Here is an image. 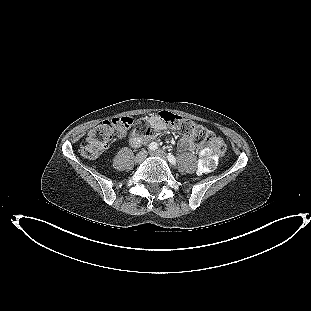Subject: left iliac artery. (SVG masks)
<instances>
[{"label":"left iliac artery","instance_id":"left-iliac-artery-1","mask_svg":"<svg viewBox=\"0 0 311 311\" xmlns=\"http://www.w3.org/2000/svg\"><path fill=\"white\" fill-rule=\"evenodd\" d=\"M167 158L171 164L176 165V158L171 153H168Z\"/></svg>","mask_w":311,"mask_h":311}]
</instances>
